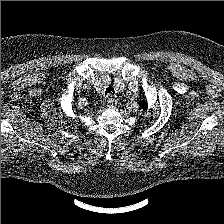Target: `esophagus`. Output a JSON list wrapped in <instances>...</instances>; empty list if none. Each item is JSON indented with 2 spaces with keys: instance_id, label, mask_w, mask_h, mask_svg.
Wrapping results in <instances>:
<instances>
[{
  "instance_id": "1",
  "label": "esophagus",
  "mask_w": 224,
  "mask_h": 224,
  "mask_svg": "<svg viewBox=\"0 0 224 224\" xmlns=\"http://www.w3.org/2000/svg\"><path fill=\"white\" fill-rule=\"evenodd\" d=\"M114 102H115V99L111 95H109L107 99L108 107H113Z\"/></svg>"
}]
</instances>
